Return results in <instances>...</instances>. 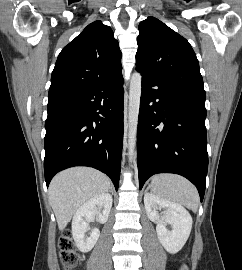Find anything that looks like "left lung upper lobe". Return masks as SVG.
<instances>
[{"instance_id": "1", "label": "left lung upper lobe", "mask_w": 242, "mask_h": 270, "mask_svg": "<svg viewBox=\"0 0 242 270\" xmlns=\"http://www.w3.org/2000/svg\"><path fill=\"white\" fill-rule=\"evenodd\" d=\"M136 69L162 85L205 96L199 63L189 42L154 17L139 24Z\"/></svg>"}]
</instances>
